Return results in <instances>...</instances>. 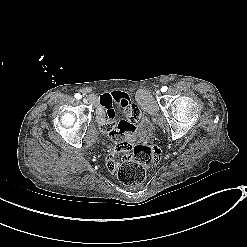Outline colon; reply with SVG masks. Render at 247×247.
I'll return each instance as SVG.
<instances>
[{
  "label": "colon",
  "instance_id": "1",
  "mask_svg": "<svg viewBox=\"0 0 247 247\" xmlns=\"http://www.w3.org/2000/svg\"><path fill=\"white\" fill-rule=\"evenodd\" d=\"M160 158V149L150 140L127 148L121 157L117 178L128 186L140 185L145 181L148 169L157 165Z\"/></svg>",
  "mask_w": 247,
  "mask_h": 247
}]
</instances>
